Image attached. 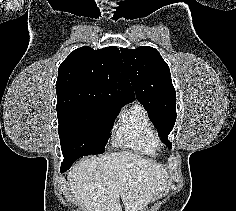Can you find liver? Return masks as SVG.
I'll list each match as a JSON object with an SVG mask.
<instances>
[{
  "label": "liver",
  "instance_id": "obj_1",
  "mask_svg": "<svg viewBox=\"0 0 236 211\" xmlns=\"http://www.w3.org/2000/svg\"><path fill=\"white\" fill-rule=\"evenodd\" d=\"M73 199L86 211H143L167 187L168 173L131 152L86 158L67 175Z\"/></svg>",
  "mask_w": 236,
  "mask_h": 211
}]
</instances>
